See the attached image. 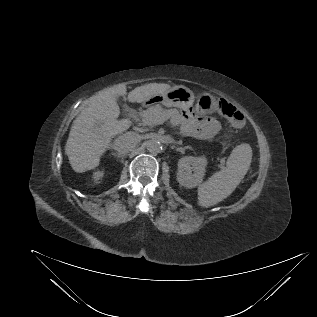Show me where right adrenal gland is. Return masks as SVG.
<instances>
[{
	"instance_id": "1",
	"label": "right adrenal gland",
	"mask_w": 317,
	"mask_h": 317,
	"mask_svg": "<svg viewBox=\"0 0 317 317\" xmlns=\"http://www.w3.org/2000/svg\"><path fill=\"white\" fill-rule=\"evenodd\" d=\"M110 149V147H108ZM112 155L116 156L117 158L122 157L121 155H119L118 153L112 152Z\"/></svg>"
}]
</instances>
